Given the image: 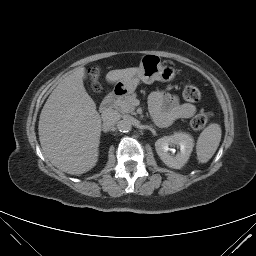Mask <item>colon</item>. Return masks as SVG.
I'll list each match as a JSON object with an SVG mask.
<instances>
[{"mask_svg": "<svg viewBox=\"0 0 256 256\" xmlns=\"http://www.w3.org/2000/svg\"><path fill=\"white\" fill-rule=\"evenodd\" d=\"M90 83L94 91L100 90V84L98 81V73L96 70H93L90 74ZM183 97L186 101L189 102H198L201 99V91L192 85H188L183 90ZM212 114L209 112L200 113L192 118L190 125L195 130L203 129L206 124L211 119Z\"/></svg>", "mask_w": 256, "mask_h": 256, "instance_id": "1", "label": "colon"}]
</instances>
